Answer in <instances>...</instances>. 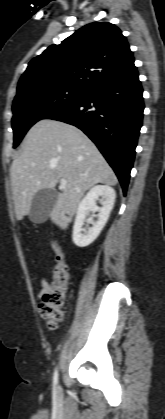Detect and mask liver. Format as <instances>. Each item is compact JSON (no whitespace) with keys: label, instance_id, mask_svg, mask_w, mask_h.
Instances as JSON below:
<instances>
[{"label":"liver","instance_id":"liver-1","mask_svg":"<svg viewBox=\"0 0 165 419\" xmlns=\"http://www.w3.org/2000/svg\"><path fill=\"white\" fill-rule=\"evenodd\" d=\"M57 193L51 221L66 229L84 193L97 183L116 185L117 177L95 144L78 128L64 122L42 119L26 134L20 154L11 166L15 214L22 220L30 212L33 196L42 189Z\"/></svg>","mask_w":165,"mask_h":419}]
</instances>
